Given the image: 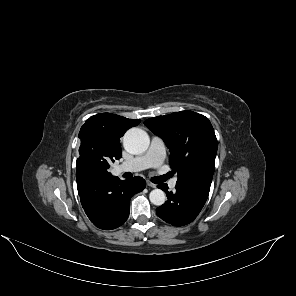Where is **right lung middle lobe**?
<instances>
[{"label": "right lung middle lobe", "mask_w": 296, "mask_h": 296, "mask_svg": "<svg viewBox=\"0 0 296 296\" xmlns=\"http://www.w3.org/2000/svg\"><path fill=\"white\" fill-rule=\"evenodd\" d=\"M80 159L89 161L102 175H111L108 172L109 163L114 162V157L106 148L94 144H81L79 148Z\"/></svg>", "instance_id": "dd1d6c3e"}]
</instances>
